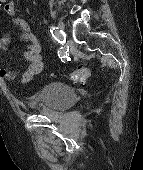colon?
Returning a JSON list of instances; mask_svg holds the SVG:
<instances>
[{"instance_id": "5ec220e1", "label": "colon", "mask_w": 143, "mask_h": 170, "mask_svg": "<svg viewBox=\"0 0 143 170\" xmlns=\"http://www.w3.org/2000/svg\"><path fill=\"white\" fill-rule=\"evenodd\" d=\"M3 2L4 0H0V4ZM67 77L73 82L85 83L90 78V70L86 66H79L76 70L70 72Z\"/></svg>"}]
</instances>
